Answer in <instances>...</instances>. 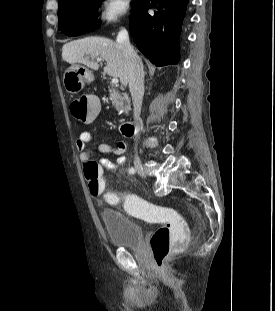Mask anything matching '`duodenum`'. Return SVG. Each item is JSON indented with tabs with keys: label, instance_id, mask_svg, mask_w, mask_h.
I'll use <instances>...</instances> for the list:
<instances>
[{
	"label": "duodenum",
	"instance_id": "1",
	"mask_svg": "<svg viewBox=\"0 0 275 311\" xmlns=\"http://www.w3.org/2000/svg\"><path fill=\"white\" fill-rule=\"evenodd\" d=\"M137 130V124L134 122H122L120 131L124 136H133Z\"/></svg>",
	"mask_w": 275,
	"mask_h": 311
}]
</instances>
